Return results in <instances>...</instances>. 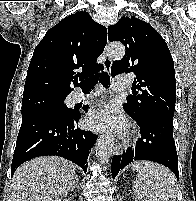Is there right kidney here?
I'll use <instances>...</instances> for the list:
<instances>
[{
  "mask_svg": "<svg viewBox=\"0 0 196 201\" xmlns=\"http://www.w3.org/2000/svg\"><path fill=\"white\" fill-rule=\"evenodd\" d=\"M65 201H72V200H69V199L67 200V199H66Z\"/></svg>",
  "mask_w": 196,
  "mask_h": 201,
  "instance_id": "obj_1",
  "label": "right kidney"
}]
</instances>
